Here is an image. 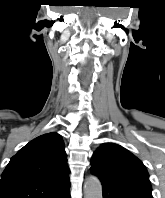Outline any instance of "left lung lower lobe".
Masks as SVG:
<instances>
[{"label": "left lung lower lobe", "instance_id": "obj_1", "mask_svg": "<svg viewBox=\"0 0 165 198\" xmlns=\"http://www.w3.org/2000/svg\"><path fill=\"white\" fill-rule=\"evenodd\" d=\"M102 194L103 198H131L130 196L125 195L104 184H102Z\"/></svg>", "mask_w": 165, "mask_h": 198}]
</instances>
